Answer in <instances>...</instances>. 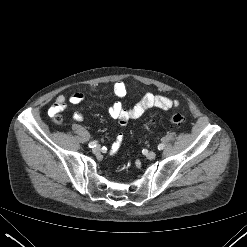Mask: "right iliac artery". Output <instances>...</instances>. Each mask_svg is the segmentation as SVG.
I'll return each mask as SVG.
<instances>
[{
  "label": "right iliac artery",
  "mask_w": 247,
  "mask_h": 247,
  "mask_svg": "<svg viewBox=\"0 0 247 247\" xmlns=\"http://www.w3.org/2000/svg\"><path fill=\"white\" fill-rule=\"evenodd\" d=\"M88 145H89L90 148H93V147H95L97 145V141H92Z\"/></svg>",
  "instance_id": "right-iliac-artery-1"
}]
</instances>
